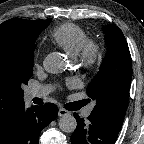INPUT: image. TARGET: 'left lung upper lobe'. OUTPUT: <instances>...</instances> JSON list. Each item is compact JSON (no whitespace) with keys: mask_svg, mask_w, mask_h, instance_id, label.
I'll return each instance as SVG.
<instances>
[{"mask_svg":"<svg viewBox=\"0 0 144 144\" xmlns=\"http://www.w3.org/2000/svg\"><path fill=\"white\" fill-rule=\"evenodd\" d=\"M103 32L107 53L86 92L96 101L92 113L122 125L132 78L131 55L126 39L116 25L103 27Z\"/></svg>","mask_w":144,"mask_h":144,"instance_id":"1","label":"left lung upper lobe"}]
</instances>
